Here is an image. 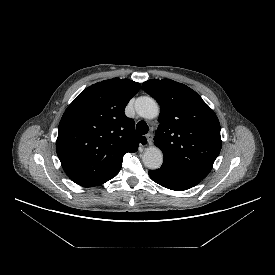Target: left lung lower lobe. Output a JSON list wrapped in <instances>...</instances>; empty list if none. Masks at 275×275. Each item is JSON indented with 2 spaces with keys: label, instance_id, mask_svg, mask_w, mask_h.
<instances>
[{
  "label": "left lung lower lobe",
  "instance_id": "0a47b994",
  "mask_svg": "<svg viewBox=\"0 0 275 275\" xmlns=\"http://www.w3.org/2000/svg\"><path fill=\"white\" fill-rule=\"evenodd\" d=\"M149 176L159 185L175 191L190 189L202 180L191 173L165 163L157 170H150Z\"/></svg>",
  "mask_w": 275,
  "mask_h": 275
}]
</instances>
